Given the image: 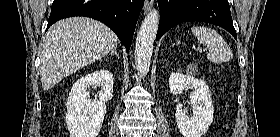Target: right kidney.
Returning <instances> with one entry per match:
<instances>
[{
	"label": "right kidney",
	"mask_w": 280,
	"mask_h": 137,
	"mask_svg": "<svg viewBox=\"0 0 280 137\" xmlns=\"http://www.w3.org/2000/svg\"><path fill=\"white\" fill-rule=\"evenodd\" d=\"M99 87V100L92 101L86 91ZM113 75L105 69L78 79L67 100L66 123L71 137H97L106 114L105 102L113 96Z\"/></svg>",
	"instance_id": "ca27d5eb"
}]
</instances>
